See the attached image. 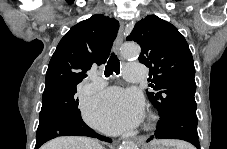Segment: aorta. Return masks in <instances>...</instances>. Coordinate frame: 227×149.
Wrapping results in <instances>:
<instances>
[{"label": "aorta", "instance_id": "1", "mask_svg": "<svg viewBox=\"0 0 227 149\" xmlns=\"http://www.w3.org/2000/svg\"><path fill=\"white\" fill-rule=\"evenodd\" d=\"M140 48L137 45L129 44L124 46L122 50L123 57L132 58L138 56ZM120 149H136V146L131 141H125L122 143Z\"/></svg>", "mask_w": 227, "mask_h": 149}]
</instances>
